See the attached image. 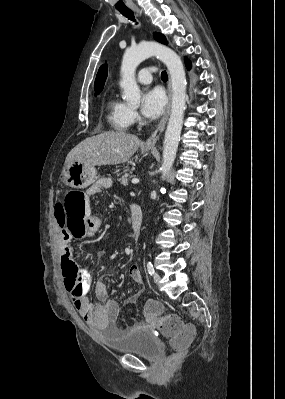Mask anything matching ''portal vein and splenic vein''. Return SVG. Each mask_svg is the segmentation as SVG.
Masks as SVG:
<instances>
[{
    "instance_id": "18ae733b",
    "label": "portal vein and splenic vein",
    "mask_w": 285,
    "mask_h": 399,
    "mask_svg": "<svg viewBox=\"0 0 285 399\" xmlns=\"http://www.w3.org/2000/svg\"><path fill=\"white\" fill-rule=\"evenodd\" d=\"M133 184H138L139 183V179H132V181H131Z\"/></svg>"
}]
</instances>
